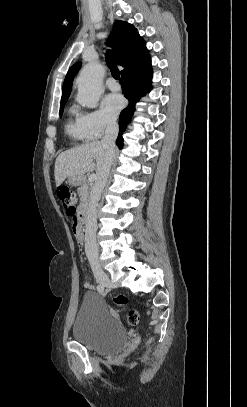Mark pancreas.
<instances>
[{
    "label": "pancreas",
    "instance_id": "pancreas-1",
    "mask_svg": "<svg viewBox=\"0 0 247 407\" xmlns=\"http://www.w3.org/2000/svg\"><path fill=\"white\" fill-rule=\"evenodd\" d=\"M90 186H91V184L84 183L81 187L78 188V192H79L82 207L86 206L87 203H88Z\"/></svg>",
    "mask_w": 247,
    "mask_h": 407
}]
</instances>
